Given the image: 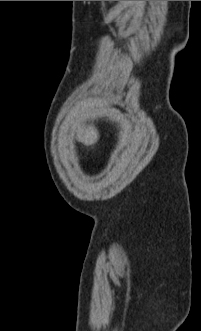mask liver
Here are the masks:
<instances>
[{
  "label": "liver",
  "mask_w": 201,
  "mask_h": 331,
  "mask_svg": "<svg viewBox=\"0 0 201 331\" xmlns=\"http://www.w3.org/2000/svg\"><path fill=\"white\" fill-rule=\"evenodd\" d=\"M67 130L86 146L95 144L99 139V132L94 126H81L74 119L67 120Z\"/></svg>",
  "instance_id": "obj_1"
}]
</instances>
